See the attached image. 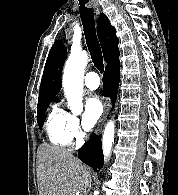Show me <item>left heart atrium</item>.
<instances>
[{"mask_svg":"<svg viewBox=\"0 0 178 195\" xmlns=\"http://www.w3.org/2000/svg\"><path fill=\"white\" fill-rule=\"evenodd\" d=\"M103 112V106L100 99L96 95H91L85 102V109L82 119L83 128L87 131L91 130Z\"/></svg>","mask_w":178,"mask_h":195,"instance_id":"39dd6f15","label":"left heart atrium"}]
</instances>
